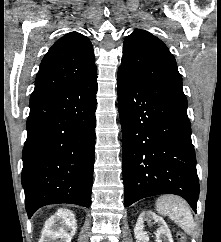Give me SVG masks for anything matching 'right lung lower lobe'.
Returning a JSON list of instances; mask_svg holds the SVG:
<instances>
[{"mask_svg": "<svg viewBox=\"0 0 221 242\" xmlns=\"http://www.w3.org/2000/svg\"><path fill=\"white\" fill-rule=\"evenodd\" d=\"M97 73L68 90L30 100L22 185L31 217L40 207L91 204Z\"/></svg>", "mask_w": 221, "mask_h": 242, "instance_id": "right-lung-lower-lobe-1", "label": "right lung lower lobe"}]
</instances>
